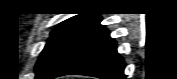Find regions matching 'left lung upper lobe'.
I'll use <instances>...</instances> for the list:
<instances>
[{
	"mask_svg": "<svg viewBox=\"0 0 177 79\" xmlns=\"http://www.w3.org/2000/svg\"><path fill=\"white\" fill-rule=\"evenodd\" d=\"M101 21L97 14H80L60 23L42 51L35 66V79H49L61 65L69 51Z\"/></svg>",
	"mask_w": 177,
	"mask_h": 79,
	"instance_id": "obj_1",
	"label": "left lung upper lobe"
}]
</instances>
